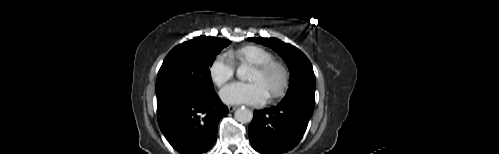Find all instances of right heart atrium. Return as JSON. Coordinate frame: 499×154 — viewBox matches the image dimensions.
Segmentation results:
<instances>
[{
    "label": "right heart atrium",
    "instance_id": "right-heart-atrium-1",
    "mask_svg": "<svg viewBox=\"0 0 499 154\" xmlns=\"http://www.w3.org/2000/svg\"><path fill=\"white\" fill-rule=\"evenodd\" d=\"M235 73L234 63L225 55L217 56L209 66V76L218 87L226 84Z\"/></svg>",
    "mask_w": 499,
    "mask_h": 154
}]
</instances>
